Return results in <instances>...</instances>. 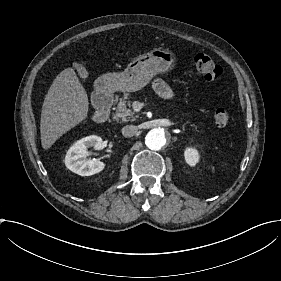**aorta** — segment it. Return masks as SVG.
<instances>
[{
    "label": "aorta",
    "mask_w": 281,
    "mask_h": 281,
    "mask_svg": "<svg viewBox=\"0 0 281 281\" xmlns=\"http://www.w3.org/2000/svg\"><path fill=\"white\" fill-rule=\"evenodd\" d=\"M166 142L167 135L163 128L151 129L145 137V144L151 150H160Z\"/></svg>",
    "instance_id": "762f6f07"
}]
</instances>
